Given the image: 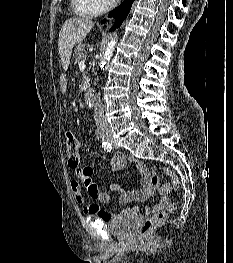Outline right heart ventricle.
<instances>
[{"mask_svg":"<svg viewBox=\"0 0 233 263\" xmlns=\"http://www.w3.org/2000/svg\"><path fill=\"white\" fill-rule=\"evenodd\" d=\"M76 11L82 16H92L94 13L86 4L85 0H74Z\"/></svg>","mask_w":233,"mask_h":263,"instance_id":"e07e8e85","label":"right heart ventricle"}]
</instances>
